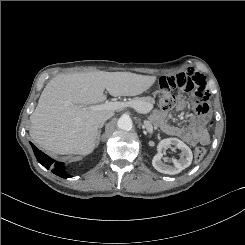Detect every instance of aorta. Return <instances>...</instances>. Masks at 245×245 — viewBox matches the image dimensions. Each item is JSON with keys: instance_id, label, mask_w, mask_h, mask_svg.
I'll list each match as a JSON object with an SVG mask.
<instances>
[{"instance_id": "762f6f07", "label": "aorta", "mask_w": 245, "mask_h": 245, "mask_svg": "<svg viewBox=\"0 0 245 245\" xmlns=\"http://www.w3.org/2000/svg\"><path fill=\"white\" fill-rule=\"evenodd\" d=\"M133 123L130 117L122 116L117 121V127L124 131H130L132 129Z\"/></svg>"}]
</instances>
